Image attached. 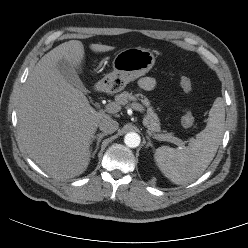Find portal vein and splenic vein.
Here are the masks:
<instances>
[{"label":"portal vein and splenic vein","instance_id":"1","mask_svg":"<svg viewBox=\"0 0 248 248\" xmlns=\"http://www.w3.org/2000/svg\"><path fill=\"white\" fill-rule=\"evenodd\" d=\"M130 106L134 110H137V111H140V112L143 110L142 105L139 104V103H132ZM120 109H121V107L115 102H111V103L107 104V106H106V110L108 112H110V113L119 112ZM170 142H173L174 144L178 145L180 149L183 148V142L180 139L176 138V137H173Z\"/></svg>","mask_w":248,"mask_h":248}]
</instances>
